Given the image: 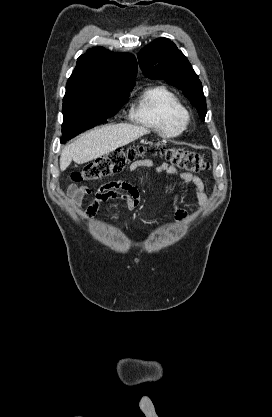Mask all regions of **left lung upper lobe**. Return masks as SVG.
Masks as SVG:
<instances>
[{
  "label": "left lung upper lobe",
  "instance_id": "5c2ea615",
  "mask_svg": "<svg viewBox=\"0 0 272 417\" xmlns=\"http://www.w3.org/2000/svg\"><path fill=\"white\" fill-rule=\"evenodd\" d=\"M140 68L150 79H164L182 90L185 97L205 119L206 99L198 75L186 56L166 38H158L145 46L138 54Z\"/></svg>",
  "mask_w": 272,
  "mask_h": 417
}]
</instances>
